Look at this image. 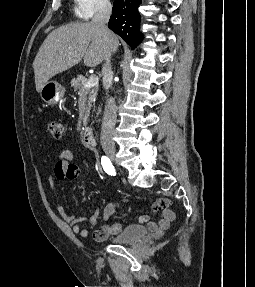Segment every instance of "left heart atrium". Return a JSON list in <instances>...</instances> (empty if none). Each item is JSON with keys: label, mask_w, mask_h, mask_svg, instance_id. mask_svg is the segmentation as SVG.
Segmentation results:
<instances>
[{"label": "left heart atrium", "mask_w": 255, "mask_h": 287, "mask_svg": "<svg viewBox=\"0 0 255 287\" xmlns=\"http://www.w3.org/2000/svg\"><path fill=\"white\" fill-rule=\"evenodd\" d=\"M113 13H118L117 11ZM77 33H93V32H77ZM75 39H90V38H75ZM80 48H88V47H80Z\"/></svg>", "instance_id": "left-heart-atrium-1"}]
</instances>
